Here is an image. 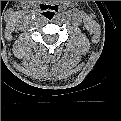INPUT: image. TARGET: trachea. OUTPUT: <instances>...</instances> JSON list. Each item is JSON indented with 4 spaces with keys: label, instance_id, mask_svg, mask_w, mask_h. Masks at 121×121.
I'll return each mask as SVG.
<instances>
[{
    "label": "trachea",
    "instance_id": "3493384b",
    "mask_svg": "<svg viewBox=\"0 0 121 121\" xmlns=\"http://www.w3.org/2000/svg\"><path fill=\"white\" fill-rule=\"evenodd\" d=\"M56 13L53 9H49L46 12H44V16L48 19V20H52L55 17Z\"/></svg>",
    "mask_w": 121,
    "mask_h": 121
}]
</instances>
